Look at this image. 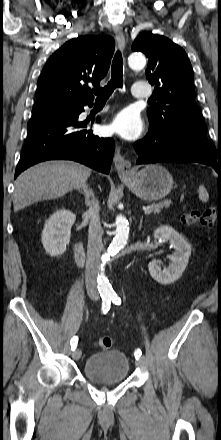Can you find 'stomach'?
<instances>
[{"instance_id": "stomach-1", "label": "stomach", "mask_w": 221, "mask_h": 440, "mask_svg": "<svg viewBox=\"0 0 221 440\" xmlns=\"http://www.w3.org/2000/svg\"><path fill=\"white\" fill-rule=\"evenodd\" d=\"M128 188L139 198L146 201L160 200L173 188V177L159 164H150L139 171L122 176Z\"/></svg>"}]
</instances>
